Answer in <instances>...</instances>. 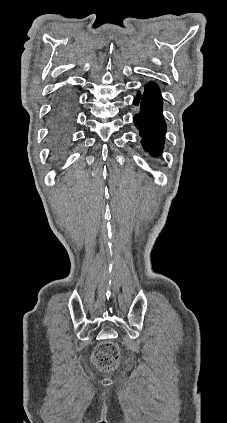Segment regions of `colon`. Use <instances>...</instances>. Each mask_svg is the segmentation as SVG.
Here are the masks:
<instances>
[{
	"label": "colon",
	"mask_w": 227,
	"mask_h": 423,
	"mask_svg": "<svg viewBox=\"0 0 227 423\" xmlns=\"http://www.w3.org/2000/svg\"><path fill=\"white\" fill-rule=\"evenodd\" d=\"M93 359L101 368L112 369L119 361L118 347L110 341L101 342L93 354Z\"/></svg>",
	"instance_id": "1"
}]
</instances>
